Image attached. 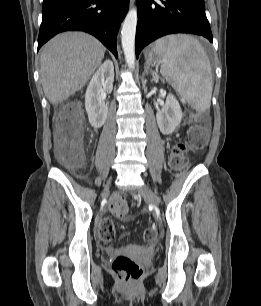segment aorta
<instances>
[{"label":"aorta","instance_id":"1","mask_svg":"<svg viewBox=\"0 0 261 306\" xmlns=\"http://www.w3.org/2000/svg\"><path fill=\"white\" fill-rule=\"evenodd\" d=\"M137 20V10L135 8L129 10L121 30L122 49L125 55L126 64L131 69L135 67V34Z\"/></svg>","mask_w":261,"mask_h":306}]
</instances>
